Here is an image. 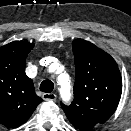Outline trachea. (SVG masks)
I'll list each match as a JSON object with an SVG mask.
<instances>
[{
    "label": "trachea",
    "mask_w": 131,
    "mask_h": 131,
    "mask_svg": "<svg viewBox=\"0 0 131 131\" xmlns=\"http://www.w3.org/2000/svg\"><path fill=\"white\" fill-rule=\"evenodd\" d=\"M54 88V83L51 80H44L40 84V90L45 93H51Z\"/></svg>",
    "instance_id": "trachea-1"
}]
</instances>
